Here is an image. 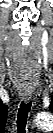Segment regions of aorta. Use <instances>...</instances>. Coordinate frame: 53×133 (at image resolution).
<instances>
[{"mask_svg":"<svg viewBox=\"0 0 53 133\" xmlns=\"http://www.w3.org/2000/svg\"><path fill=\"white\" fill-rule=\"evenodd\" d=\"M35 121L38 126L48 128L52 125V115L50 113L39 114Z\"/></svg>","mask_w":53,"mask_h":133,"instance_id":"obj_1","label":"aorta"}]
</instances>
